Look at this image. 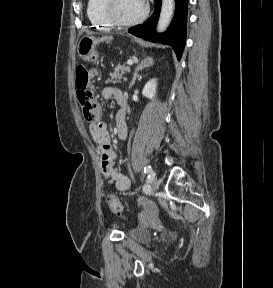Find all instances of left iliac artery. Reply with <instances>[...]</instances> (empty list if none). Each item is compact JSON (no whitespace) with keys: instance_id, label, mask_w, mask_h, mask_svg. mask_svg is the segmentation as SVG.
I'll return each instance as SVG.
<instances>
[{"instance_id":"obj_1","label":"left iliac artery","mask_w":273,"mask_h":288,"mask_svg":"<svg viewBox=\"0 0 273 288\" xmlns=\"http://www.w3.org/2000/svg\"><path fill=\"white\" fill-rule=\"evenodd\" d=\"M144 173L148 174L149 181H151L154 178V176H155V173L153 172L151 166H146L144 168Z\"/></svg>"}]
</instances>
